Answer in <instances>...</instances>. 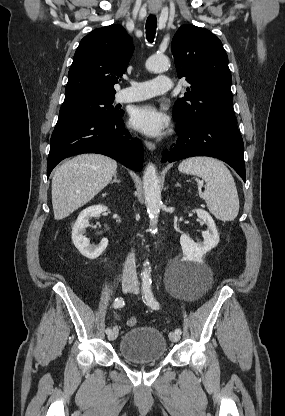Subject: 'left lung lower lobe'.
Listing matches in <instances>:
<instances>
[{
	"mask_svg": "<svg viewBox=\"0 0 285 416\" xmlns=\"http://www.w3.org/2000/svg\"><path fill=\"white\" fill-rule=\"evenodd\" d=\"M177 133L179 138L165 151L163 162L194 156L214 157L229 164L246 180L244 144L234 116L207 118L188 128H177Z\"/></svg>",
	"mask_w": 285,
	"mask_h": 416,
	"instance_id": "1",
	"label": "left lung lower lobe"
}]
</instances>
